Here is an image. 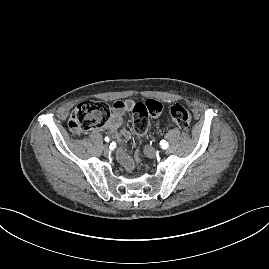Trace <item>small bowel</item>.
<instances>
[{
  "label": "small bowel",
  "instance_id": "small-bowel-1",
  "mask_svg": "<svg viewBox=\"0 0 269 269\" xmlns=\"http://www.w3.org/2000/svg\"><path fill=\"white\" fill-rule=\"evenodd\" d=\"M134 105L132 100L116 101L113 104V114L107 122L106 130H108L115 138L119 137V131L120 136L123 139L129 140L131 138V133L127 129L122 128V126L124 115L127 112L132 111ZM117 159L128 172L133 170V160L124 149H119L117 151Z\"/></svg>",
  "mask_w": 269,
  "mask_h": 269
}]
</instances>
